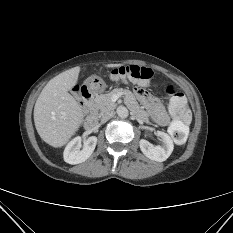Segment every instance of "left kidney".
I'll use <instances>...</instances> for the list:
<instances>
[{"label":"left kidney","instance_id":"left-kidney-1","mask_svg":"<svg viewBox=\"0 0 233 233\" xmlns=\"http://www.w3.org/2000/svg\"><path fill=\"white\" fill-rule=\"evenodd\" d=\"M156 135L161 138L163 142L162 146H154L147 140L141 139L139 141L140 149L149 159L163 162L171 155L174 149V144L168 134L158 131Z\"/></svg>","mask_w":233,"mask_h":233}]
</instances>
